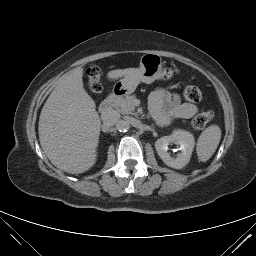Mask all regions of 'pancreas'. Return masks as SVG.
<instances>
[{
	"label": "pancreas",
	"mask_w": 256,
	"mask_h": 256,
	"mask_svg": "<svg viewBox=\"0 0 256 256\" xmlns=\"http://www.w3.org/2000/svg\"><path fill=\"white\" fill-rule=\"evenodd\" d=\"M135 96H126L125 98H121L115 101L114 103V108L122 113V114H134L135 111V106H134V101Z\"/></svg>",
	"instance_id": "1"
}]
</instances>
